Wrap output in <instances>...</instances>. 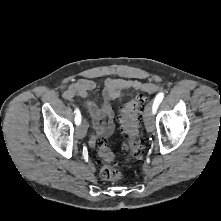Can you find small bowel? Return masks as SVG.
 Masks as SVG:
<instances>
[{
    "label": "small bowel",
    "mask_w": 221,
    "mask_h": 221,
    "mask_svg": "<svg viewBox=\"0 0 221 221\" xmlns=\"http://www.w3.org/2000/svg\"><path fill=\"white\" fill-rule=\"evenodd\" d=\"M96 82L92 79H79L71 83L63 92V98L70 100L74 97L86 98L85 106L91 117L94 134L89 139L91 147H95L100 140L108 138L114 131L113 109L111 101L122 100V93L125 90H139L152 92L155 90L153 84L142 83L136 79L108 78L104 82L103 97L104 102L97 106L95 102L88 99L95 90Z\"/></svg>",
    "instance_id": "small-bowel-1"
}]
</instances>
